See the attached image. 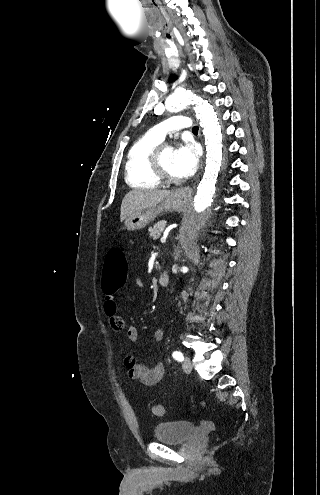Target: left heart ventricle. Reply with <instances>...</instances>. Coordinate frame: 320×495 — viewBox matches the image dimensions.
<instances>
[{
  "mask_svg": "<svg viewBox=\"0 0 320 495\" xmlns=\"http://www.w3.org/2000/svg\"><path fill=\"white\" fill-rule=\"evenodd\" d=\"M173 158H174V149L172 147H166L162 151L161 161L164 169L171 175L176 176L173 170Z\"/></svg>",
  "mask_w": 320,
  "mask_h": 495,
  "instance_id": "obj_1",
  "label": "left heart ventricle"
}]
</instances>
